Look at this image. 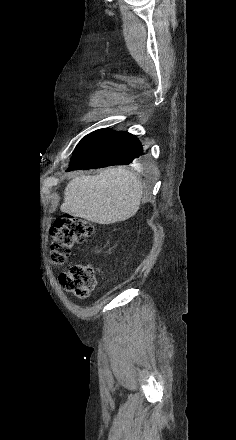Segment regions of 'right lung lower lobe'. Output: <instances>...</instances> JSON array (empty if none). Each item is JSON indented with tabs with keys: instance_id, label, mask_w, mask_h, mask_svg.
Instances as JSON below:
<instances>
[{
	"instance_id": "98d812e1",
	"label": "right lung lower lobe",
	"mask_w": 236,
	"mask_h": 440,
	"mask_svg": "<svg viewBox=\"0 0 236 440\" xmlns=\"http://www.w3.org/2000/svg\"><path fill=\"white\" fill-rule=\"evenodd\" d=\"M143 155L136 136L125 131L100 129L78 143L67 171L128 165Z\"/></svg>"
}]
</instances>
